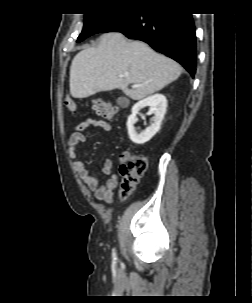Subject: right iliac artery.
Returning <instances> with one entry per match:
<instances>
[{"instance_id":"1","label":"right iliac artery","mask_w":252,"mask_h":303,"mask_svg":"<svg viewBox=\"0 0 252 303\" xmlns=\"http://www.w3.org/2000/svg\"><path fill=\"white\" fill-rule=\"evenodd\" d=\"M112 257H113V260H115V259H116V253H115V251H114V250H113Z\"/></svg>"}]
</instances>
